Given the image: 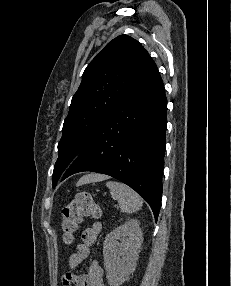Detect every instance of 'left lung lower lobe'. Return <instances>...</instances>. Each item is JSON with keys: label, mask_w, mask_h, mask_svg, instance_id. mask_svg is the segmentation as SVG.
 I'll list each match as a JSON object with an SVG mask.
<instances>
[{"label": "left lung lower lobe", "mask_w": 231, "mask_h": 286, "mask_svg": "<svg viewBox=\"0 0 231 286\" xmlns=\"http://www.w3.org/2000/svg\"><path fill=\"white\" fill-rule=\"evenodd\" d=\"M167 100L157 67L94 129L63 179L92 171L134 189L158 218L167 126Z\"/></svg>", "instance_id": "0a47b994"}]
</instances>
